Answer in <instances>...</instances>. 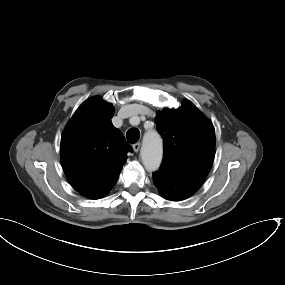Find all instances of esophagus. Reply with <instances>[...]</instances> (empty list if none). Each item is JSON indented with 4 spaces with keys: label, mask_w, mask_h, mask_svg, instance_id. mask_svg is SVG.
I'll list each match as a JSON object with an SVG mask.
<instances>
[{
    "label": "esophagus",
    "mask_w": 285,
    "mask_h": 285,
    "mask_svg": "<svg viewBox=\"0 0 285 285\" xmlns=\"http://www.w3.org/2000/svg\"><path fill=\"white\" fill-rule=\"evenodd\" d=\"M132 147H133V150H134L135 152H138V151L140 150L141 143H140V142H137V143L133 144Z\"/></svg>",
    "instance_id": "esophagus-1"
}]
</instances>
